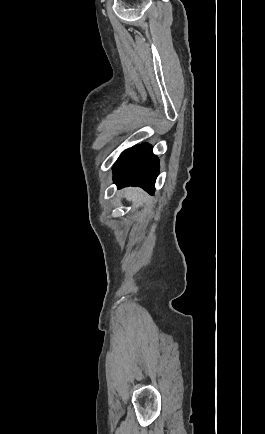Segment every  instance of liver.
<instances>
[{
  "label": "liver",
  "mask_w": 265,
  "mask_h": 434,
  "mask_svg": "<svg viewBox=\"0 0 265 434\" xmlns=\"http://www.w3.org/2000/svg\"><path fill=\"white\" fill-rule=\"evenodd\" d=\"M124 196L128 202H133L134 208H139L143 206L144 202H147V194L139 190V188H127L124 190Z\"/></svg>",
  "instance_id": "obj_1"
}]
</instances>
